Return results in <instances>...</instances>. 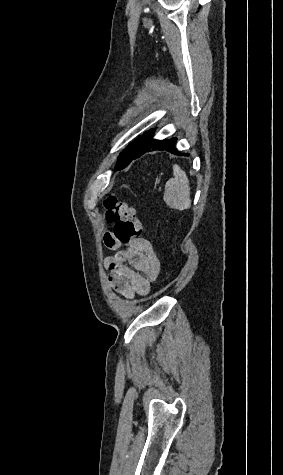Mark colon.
<instances>
[{
  "label": "colon",
  "mask_w": 283,
  "mask_h": 475,
  "mask_svg": "<svg viewBox=\"0 0 283 475\" xmlns=\"http://www.w3.org/2000/svg\"><path fill=\"white\" fill-rule=\"evenodd\" d=\"M105 219L109 223L118 224L119 231L114 234L120 243L141 237V224L135 208L114 195L105 199Z\"/></svg>",
  "instance_id": "1"
}]
</instances>
